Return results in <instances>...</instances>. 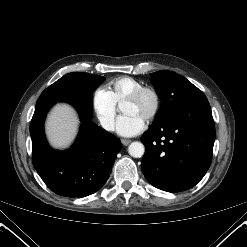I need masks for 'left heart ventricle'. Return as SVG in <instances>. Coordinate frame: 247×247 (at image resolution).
<instances>
[{"mask_svg": "<svg viewBox=\"0 0 247 247\" xmlns=\"http://www.w3.org/2000/svg\"><path fill=\"white\" fill-rule=\"evenodd\" d=\"M152 107L153 98L151 95L146 94L136 102L124 103L122 106V111L125 114H137L145 120L152 110Z\"/></svg>", "mask_w": 247, "mask_h": 247, "instance_id": "obj_1", "label": "left heart ventricle"}]
</instances>
